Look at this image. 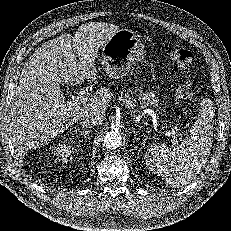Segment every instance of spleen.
<instances>
[{"instance_id": "obj_1", "label": "spleen", "mask_w": 231, "mask_h": 231, "mask_svg": "<svg viewBox=\"0 0 231 231\" xmlns=\"http://www.w3.org/2000/svg\"><path fill=\"white\" fill-rule=\"evenodd\" d=\"M212 117L213 110L204 109L178 146L168 148L161 143L152 144L144 157L148 169L171 186L185 185L200 172L210 154L214 129Z\"/></svg>"}]
</instances>
